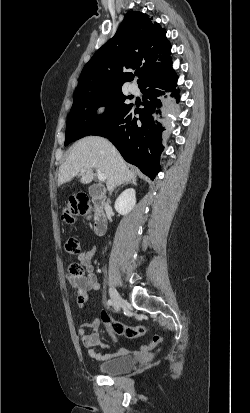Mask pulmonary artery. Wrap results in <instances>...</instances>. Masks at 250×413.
<instances>
[{
    "instance_id": "pulmonary-artery-1",
    "label": "pulmonary artery",
    "mask_w": 250,
    "mask_h": 413,
    "mask_svg": "<svg viewBox=\"0 0 250 413\" xmlns=\"http://www.w3.org/2000/svg\"><path fill=\"white\" fill-rule=\"evenodd\" d=\"M129 91H130L131 93H137V92H138V87H137V85L131 84V85L129 86Z\"/></svg>"
}]
</instances>
